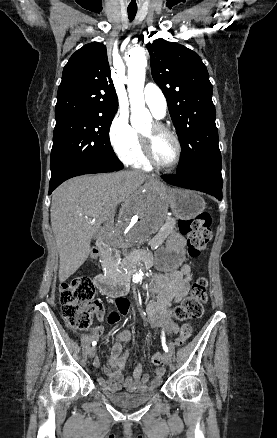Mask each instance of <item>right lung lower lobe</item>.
<instances>
[{"label":"right lung lower lobe","instance_id":"right-lung-lower-lobe-1","mask_svg":"<svg viewBox=\"0 0 277 438\" xmlns=\"http://www.w3.org/2000/svg\"><path fill=\"white\" fill-rule=\"evenodd\" d=\"M123 168L122 163H96L82 166H75L65 170L59 176L51 178L49 194L65 180L84 174L105 173L118 171Z\"/></svg>","mask_w":277,"mask_h":438}]
</instances>
